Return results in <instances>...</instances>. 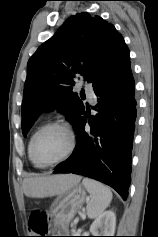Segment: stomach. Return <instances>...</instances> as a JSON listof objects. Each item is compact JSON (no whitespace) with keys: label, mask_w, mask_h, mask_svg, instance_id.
Here are the masks:
<instances>
[{"label":"stomach","mask_w":158,"mask_h":237,"mask_svg":"<svg viewBox=\"0 0 158 237\" xmlns=\"http://www.w3.org/2000/svg\"><path fill=\"white\" fill-rule=\"evenodd\" d=\"M86 190L78 183L59 194L50 207V214L61 230H66L79 208L86 201Z\"/></svg>","instance_id":"obj_1"}]
</instances>
